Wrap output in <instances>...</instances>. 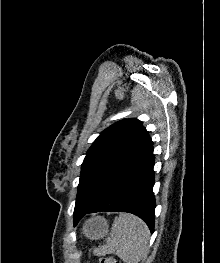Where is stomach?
I'll return each instance as SVG.
<instances>
[{"mask_svg": "<svg viewBox=\"0 0 220 263\" xmlns=\"http://www.w3.org/2000/svg\"><path fill=\"white\" fill-rule=\"evenodd\" d=\"M108 227V222L103 217L96 216L85 222L83 234L91 240H97L106 236Z\"/></svg>", "mask_w": 220, "mask_h": 263, "instance_id": "0dacf381", "label": "stomach"}]
</instances>
